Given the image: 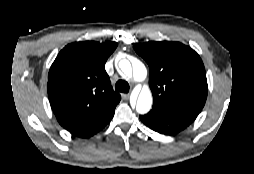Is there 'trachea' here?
Listing matches in <instances>:
<instances>
[{
    "label": "trachea",
    "instance_id": "trachea-1",
    "mask_svg": "<svg viewBox=\"0 0 254 174\" xmlns=\"http://www.w3.org/2000/svg\"><path fill=\"white\" fill-rule=\"evenodd\" d=\"M115 90H117L118 92L128 93L129 92L128 82L124 80L117 81V83L115 84Z\"/></svg>",
    "mask_w": 254,
    "mask_h": 174
}]
</instances>
